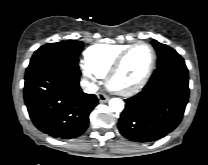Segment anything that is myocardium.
Instances as JSON below:
<instances>
[{"label": "myocardium", "instance_id": "obj_1", "mask_svg": "<svg viewBox=\"0 0 208 165\" xmlns=\"http://www.w3.org/2000/svg\"><path fill=\"white\" fill-rule=\"evenodd\" d=\"M139 46H145V47L149 48L151 51V61H150V64H149L146 72L144 73V75L142 76V78L139 81H137L136 83H134L130 86H121V85L116 84L115 78L118 75V73L120 72V70L122 69L127 57L130 55V53L133 50H135ZM156 59H157L156 51H155L154 47L149 43L137 42L135 44L128 46L125 50H123L119 54V56L116 58V60L114 61L110 70L107 73L108 87L110 88V90H112L116 94L123 95V96H130V95H133V94L139 92L149 81V79L154 71V68H155Z\"/></svg>", "mask_w": 208, "mask_h": 165}]
</instances>
